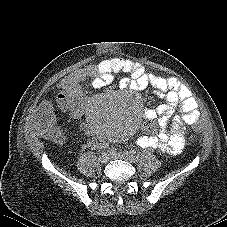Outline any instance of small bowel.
Here are the masks:
<instances>
[{
  "instance_id": "obj_1",
  "label": "small bowel",
  "mask_w": 227,
  "mask_h": 227,
  "mask_svg": "<svg viewBox=\"0 0 227 227\" xmlns=\"http://www.w3.org/2000/svg\"><path fill=\"white\" fill-rule=\"evenodd\" d=\"M120 72L127 74L120 81L121 87L143 90L153 86L157 96L163 101L159 106L144 111L143 118L155 121V124L137 138V144L142 148L158 149L171 155L179 154L185 145L186 126L199 119L197 101L190 89L177 79L147 72L138 62L109 59L76 70L64 77L57 87L60 105L68 108L72 99H82V82L85 80L91 79L93 87L100 89L109 85ZM177 108H180L181 114L173 117ZM40 111L49 115L52 113V105L44 102Z\"/></svg>"
}]
</instances>
